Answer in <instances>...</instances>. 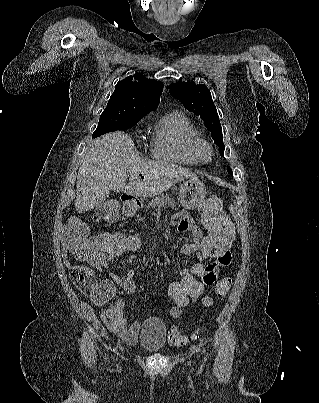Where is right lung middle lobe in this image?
<instances>
[{
    "label": "right lung middle lobe",
    "mask_w": 319,
    "mask_h": 403,
    "mask_svg": "<svg viewBox=\"0 0 319 403\" xmlns=\"http://www.w3.org/2000/svg\"><path fill=\"white\" fill-rule=\"evenodd\" d=\"M144 114L135 113L124 107L107 106L100 115L98 127L93 133L96 138L107 132L127 129L134 126Z\"/></svg>",
    "instance_id": "right-lung-middle-lobe-1"
}]
</instances>
